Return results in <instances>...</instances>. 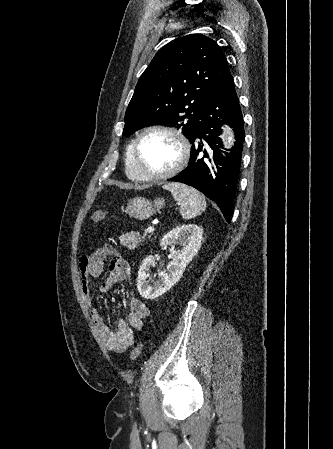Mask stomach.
Segmentation results:
<instances>
[{"instance_id":"obj_1","label":"stomach","mask_w":333,"mask_h":449,"mask_svg":"<svg viewBox=\"0 0 333 449\" xmlns=\"http://www.w3.org/2000/svg\"><path fill=\"white\" fill-rule=\"evenodd\" d=\"M164 205V200L157 198L154 202L142 197L129 200L125 208L126 214L131 218L138 220H146L150 218L156 211L160 210Z\"/></svg>"}]
</instances>
